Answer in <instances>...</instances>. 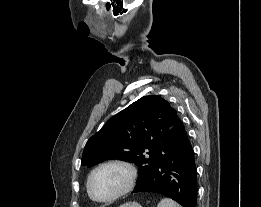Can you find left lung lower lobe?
<instances>
[{"label": "left lung lower lobe", "instance_id": "obj_1", "mask_svg": "<svg viewBox=\"0 0 261 207\" xmlns=\"http://www.w3.org/2000/svg\"><path fill=\"white\" fill-rule=\"evenodd\" d=\"M132 193H157L175 200L183 207H196L195 155L185 129L177 146L137 183Z\"/></svg>", "mask_w": 261, "mask_h": 207}]
</instances>
